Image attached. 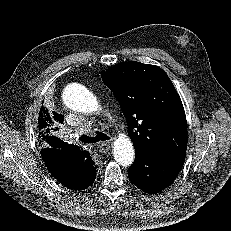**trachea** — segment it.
<instances>
[{
    "mask_svg": "<svg viewBox=\"0 0 231 231\" xmlns=\"http://www.w3.org/2000/svg\"><path fill=\"white\" fill-rule=\"evenodd\" d=\"M109 139H110L109 136H107L105 133L100 132V131H96L94 137H89L87 135H82L80 137V140L83 143H89V144L96 143V142H99V141H106V140H109Z\"/></svg>",
    "mask_w": 231,
    "mask_h": 231,
    "instance_id": "3493384b",
    "label": "trachea"
}]
</instances>
